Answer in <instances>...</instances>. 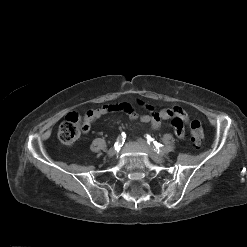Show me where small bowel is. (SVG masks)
<instances>
[{"label":"small bowel","mask_w":247,"mask_h":247,"mask_svg":"<svg viewBox=\"0 0 247 247\" xmlns=\"http://www.w3.org/2000/svg\"><path fill=\"white\" fill-rule=\"evenodd\" d=\"M139 104L143 105L142 102H139ZM115 112H123L127 114L130 119H139L143 123H151L154 128H158L162 120H172L176 135L179 138L185 137L184 125L187 122L188 116L180 107L163 109L156 114H143L139 116L133 105L128 102L107 104L88 111L84 116V132H88L91 124L102 116Z\"/></svg>","instance_id":"obj_1"}]
</instances>
